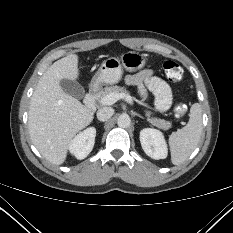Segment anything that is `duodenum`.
<instances>
[{"label":"duodenum","mask_w":233,"mask_h":233,"mask_svg":"<svg viewBox=\"0 0 233 233\" xmlns=\"http://www.w3.org/2000/svg\"><path fill=\"white\" fill-rule=\"evenodd\" d=\"M98 94H99L98 85H93L89 90L88 94L84 98V104L87 108H93L95 106Z\"/></svg>","instance_id":"duodenum-1"}]
</instances>
